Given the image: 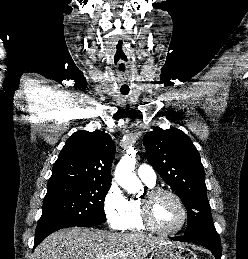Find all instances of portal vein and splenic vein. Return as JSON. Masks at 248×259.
<instances>
[{
  "instance_id": "portal-vein-and-splenic-vein-1",
  "label": "portal vein and splenic vein",
  "mask_w": 248,
  "mask_h": 259,
  "mask_svg": "<svg viewBox=\"0 0 248 259\" xmlns=\"http://www.w3.org/2000/svg\"><path fill=\"white\" fill-rule=\"evenodd\" d=\"M105 257L104 256H100V257H98L97 259H104Z\"/></svg>"
}]
</instances>
